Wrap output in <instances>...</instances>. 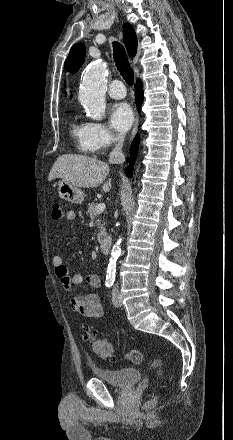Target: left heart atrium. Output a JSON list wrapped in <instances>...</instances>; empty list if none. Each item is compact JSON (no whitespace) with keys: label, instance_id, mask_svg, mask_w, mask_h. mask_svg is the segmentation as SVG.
<instances>
[{"label":"left heart atrium","instance_id":"left-heart-atrium-1","mask_svg":"<svg viewBox=\"0 0 233 440\" xmlns=\"http://www.w3.org/2000/svg\"><path fill=\"white\" fill-rule=\"evenodd\" d=\"M112 126L121 133L130 129L134 122V114L131 107L124 102L116 103L110 110Z\"/></svg>","mask_w":233,"mask_h":440}]
</instances>
